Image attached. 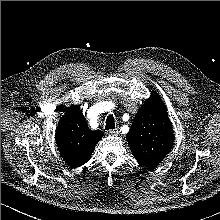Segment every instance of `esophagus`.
Segmentation results:
<instances>
[{
  "label": "esophagus",
  "instance_id": "esophagus-1",
  "mask_svg": "<svg viewBox=\"0 0 220 220\" xmlns=\"http://www.w3.org/2000/svg\"><path fill=\"white\" fill-rule=\"evenodd\" d=\"M118 129H112V130H107L106 134L107 135H117L118 134Z\"/></svg>",
  "mask_w": 220,
  "mask_h": 220
}]
</instances>
